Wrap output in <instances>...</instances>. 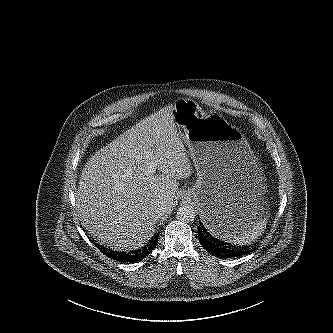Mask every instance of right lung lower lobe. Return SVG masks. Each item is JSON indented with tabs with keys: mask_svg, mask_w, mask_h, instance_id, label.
Segmentation results:
<instances>
[{
	"mask_svg": "<svg viewBox=\"0 0 333 333\" xmlns=\"http://www.w3.org/2000/svg\"><path fill=\"white\" fill-rule=\"evenodd\" d=\"M158 234H155L152 238V241L148 243V245L146 247H144V249L135 254V255H123L121 253H116L115 251H111L108 250L107 248L101 247L96 245L99 250H101V252H103L106 256H108L111 259H115L118 261H123V262H133V261H140L143 258H145L146 256H148L152 250L155 248L157 241H158Z\"/></svg>",
	"mask_w": 333,
	"mask_h": 333,
	"instance_id": "obj_1",
	"label": "right lung lower lobe"
}]
</instances>
